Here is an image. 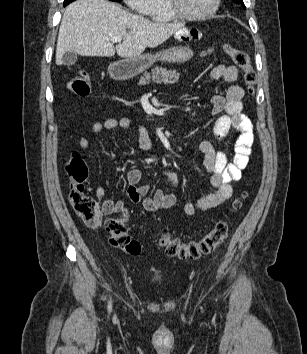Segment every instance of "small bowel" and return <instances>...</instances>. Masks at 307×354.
Wrapping results in <instances>:
<instances>
[{"mask_svg": "<svg viewBox=\"0 0 307 354\" xmlns=\"http://www.w3.org/2000/svg\"><path fill=\"white\" fill-rule=\"evenodd\" d=\"M173 35L174 38H193L194 34L189 29H176ZM211 77L215 80L223 79L228 83H232L238 78V70L234 66L220 64L212 69ZM244 94L243 87L231 85L226 90L225 95H216L212 98L213 113L218 115L214 125L216 139L223 141L232 129L237 130L239 134L231 162H228L227 156L223 151L215 150L210 141L205 140L200 143L199 149L204 155V165L210 174L213 192L194 203L183 205L182 211L188 216H192L198 211H206L227 201L232 195V182L241 178L242 171L249 163L254 133L251 121L242 114ZM133 126L134 121L128 117L109 118L105 121L92 123L90 131L93 134H98L104 130L131 129ZM137 138L140 147L143 149L152 147V140L145 126H138ZM79 147L84 151L87 150L90 147V140L87 137H82L79 140ZM141 177L142 171L139 168H133L126 174L127 195L132 203H140L149 212L179 207L176 196L170 192L157 190L153 196H147L149 186L138 185ZM164 179L170 186L177 184V176L172 171L164 172ZM104 195V188L98 186L95 190V197L102 199ZM103 206L107 213L110 214L121 211L124 208V203L122 201L105 200Z\"/></svg>", "mask_w": 307, "mask_h": 354, "instance_id": "small-bowel-1", "label": "small bowel"}]
</instances>
